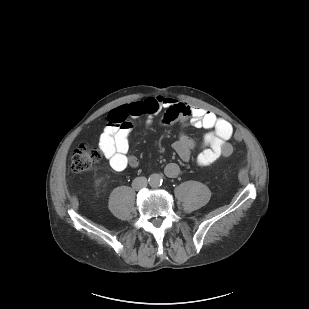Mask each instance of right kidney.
I'll return each mask as SVG.
<instances>
[{"label": "right kidney", "mask_w": 309, "mask_h": 309, "mask_svg": "<svg viewBox=\"0 0 309 309\" xmlns=\"http://www.w3.org/2000/svg\"><path fill=\"white\" fill-rule=\"evenodd\" d=\"M101 182V179L96 180V184H99Z\"/></svg>", "instance_id": "1"}]
</instances>
